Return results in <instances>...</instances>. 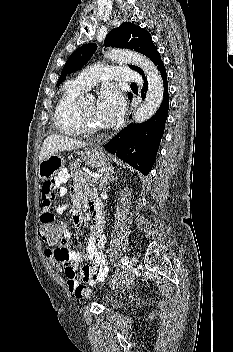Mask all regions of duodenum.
<instances>
[{
  "label": "duodenum",
  "instance_id": "410a0bca",
  "mask_svg": "<svg viewBox=\"0 0 233 352\" xmlns=\"http://www.w3.org/2000/svg\"><path fill=\"white\" fill-rule=\"evenodd\" d=\"M92 210H93L94 212H98V211H99V204H98V202H94V203L92 204Z\"/></svg>",
  "mask_w": 233,
  "mask_h": 352
}]
</instances>
